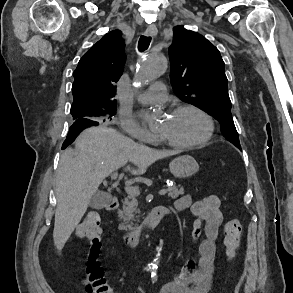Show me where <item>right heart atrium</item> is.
<instances>
[{
	"label": "right heart atrium",
	"mask_w": 293,
	"mask_h": 293,
	"mask_svg": "<svg viewBox=\"0 0 293 293\" xmlns=\"http://www.w3.org/2000/svg\"><path fill=\"white\" fill-rule=\"evenodd\" d=\"M119 125L124 132L135 139L147 143H152L156 140V137L147 129L139 125L128 112L122 111L120 113Z\"/></svg>",
	"instance_id": "right-heart-atrium-1"
}]
</instances>
